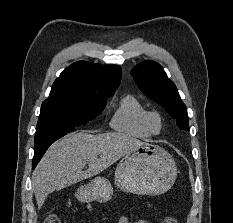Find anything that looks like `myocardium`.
I'll return each mask as SVG.
<instances>
[{
	"instance_id": "myocardium-1",
	"label": "myocardium",
	"mask_w": 233,
	"mask_h": 223,
	"mask_svg": "<svg viewBox=\"0 0 233 223\" xmlns=\"http://www.w3.org/2000/svg\"><path fill=\"white\" fill-rule=\"evenodd\" d=\"M154 117H157L159 118V120L161 121L162 123V129L158 132H155L153 129H152V120ZM144 126H145V129L146 131L150 134V135H153V136H157V135H160L164 132L165 130V117L164 115L158 111V110H149L145 113L144 115Z\"/></svg>"
}]
</instances>
